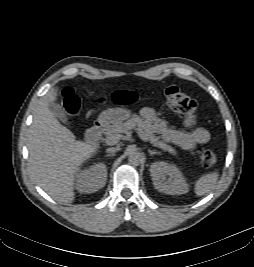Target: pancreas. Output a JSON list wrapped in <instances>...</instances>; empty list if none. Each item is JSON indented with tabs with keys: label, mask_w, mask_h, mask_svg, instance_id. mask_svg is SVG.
Listing matches in <instances>:
<instances>
[{
	"label": "pancreas",
	"mask_w": 254,
	"mask_h": 267,
	"mask_svg": "<svg viewBox=\"0 0 254 267\" xmlns=\"http://www.w3.org/2000/svg\"><path fill=\"white\" fill-rule=\"evenodd\" d=\"M143 123V119L138 116H134L133 118L124 123L113 124L111 126H108L105 129V136L107 139L113 136H121L122 133H127L129 130L135 129L138 126V130H141L145 134L146 141H149L155 147L161 148L164 151L176 155V150L173 147L160 141L159 137L155 136L150 130L144 129L142 127Z\"/></svg>",
	"instance_id": "1"
}]
</instances>
